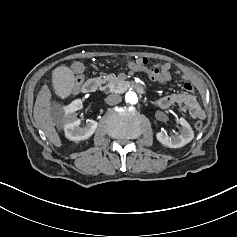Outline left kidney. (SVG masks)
Returning <instances> with one entry per match:
<instances>
[{
	"label": "left kidney",
	"instance_id": "5707ae66",
	"mask_svg": "<svg viewBox=\"0 0 237 237\" xmlns=\"http://www.w3.org/2000/svg\"><path fill=\"white\" fill-rule=\"evenodd\" d=\"M179 124L182 126L179 134L169 136L166 133L158 132L156 134L157 140L169 148H180L192 141L194 138V131L190 124L184 118L179 119Z\"/></svg>",
	"mask_w": 237,
	"mask_h": 237
}]
</instances>
